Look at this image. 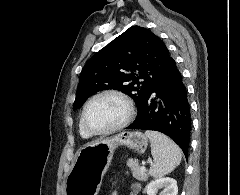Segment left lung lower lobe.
<instances>
[{"instance_id": "left-lung-lower-lobe-1", "label": "left lung lower lobe", "mask_w": 240, "mask_h": 195, "mask_svg": "<svg viewBox=\"0 0 240 195\" xmlns=\"http://www.w3.org/2000/svg\"><path fill=\"white\" fill-rule=\"evenodd\" d=\"M126 129L154 130L172 138L188 156L191 114L187 90L174 59L149 89L135 121Z\"/></svg>"}]
</instances>
